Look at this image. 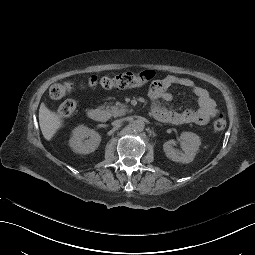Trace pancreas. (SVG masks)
Masks as SVG:
<instances>
[{"mask_svg":"<svg viewBox=\"0 0 255 255\" xmlns=\"http://www.w3.org/2000/svg\"><path fill=\"white\" fill-rule=\"evenodd\" d=\"M106 111L113 117L123 116L126 114V105L116 102L114 106H106Z\"/></svg>","mask_w":255,"mask_h":255,"instance_id":"pancreas-1","label":"pancreas"}]
</instances>
